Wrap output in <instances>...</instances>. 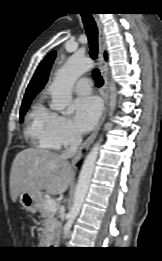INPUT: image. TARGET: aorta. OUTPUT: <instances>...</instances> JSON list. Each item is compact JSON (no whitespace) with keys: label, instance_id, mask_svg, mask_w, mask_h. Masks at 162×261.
Segmentation results:
<instances>
[{"label":"aorta","instance_id":"obj_1","mask_svg":"<svg viewBox=\"0 0 162 261\" xmlns=\"http://www.w3.org/2000/svg\"><path fill=\"white\" fill-rule=\"evenodd\" d=\"M94 66L93 61L90 58H86L77 53L73 54L68 61L58 70L54 81L50 86L51 94V108L56 111L63 112L72 101V88L75 81L85 72L90 70ZM110 103L109 114L112 115L116 106V87L110 83ZM71 113L70 111L67 112ZM102 138L97 141L92 147L91 151L87 155L82 169L79 174L78 183L76 186L73 205L68 213V220L63 228L64 238L68 235L74 220L78 216L81 207L84 203V199L88 192V188L93 175L95 163L99 154L100 142Z\"/></svg>","mask_w":162,"mask_h":261}]
</instances>
